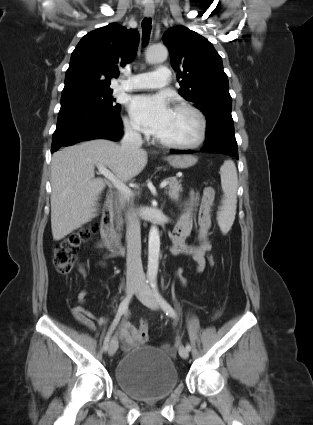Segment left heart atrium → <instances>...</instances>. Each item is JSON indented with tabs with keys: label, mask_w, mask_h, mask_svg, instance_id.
I'll list each match as a JSON object with an SVG mask.
<instances>
[{
	"label": "left heart atrium",
	"mask_w": 313,
	"mask_h": 425,
	"mask_svg": "<svg viewBox=\"0 0 313 425\" xmlns=\"http://www.w3.org/2000/svg\"><path fill=\"white\" fill-rule=\"evenodd\" d=\"M130 113L142 131L159 135L167 125L172 109L163 95H140L131 100Z\"/></svg>",
	"instance_id": "1"
}]
</instances>
